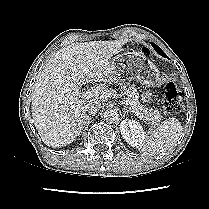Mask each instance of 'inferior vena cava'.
Masks as SVG:
<instances>
[{"label": "inferior vena cava", "instance_id": "602c4592", "mask_svg": "<svg viewBox=\"0 0 209 209\" xmlns=\"http://www.w3.org/2000/svg\"><path fill=\"white\" fill-rule=\"evenodd\" d=\"M101 108V104L98 101H92L86 105L85 111L89 115H95Z\"/></svg>", "mask_w": 209, "mask_h": 209}]
</instances>
